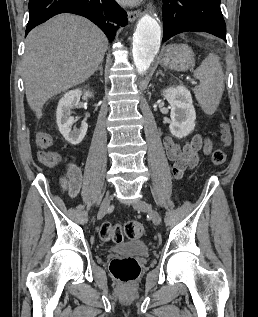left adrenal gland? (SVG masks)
Segmentation results:
<instances>
[{
	"label": "left adrenal gland",
	"mask_w": 258,
	"mask_h": 317,
	"mask_svg": "<svg viewBox=\"0 0 258 317\" xmlns=\"http://www.w3.org/2000/svg\"><path fill=\"white\" fill-rule=\"evenodd\" d=\"M158 74H161V76H164L162 70H159V72H156V76H158Z\"/></svg>",
	"instance_id": "obj_1"
}]
</instances>
